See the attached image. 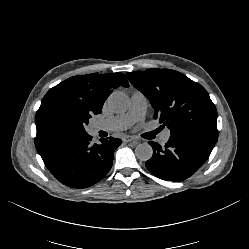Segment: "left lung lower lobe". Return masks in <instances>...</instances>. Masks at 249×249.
<instances>
[{
  "label": "left lung lower lobe",
  "mask_w": 249,
  "mask_h": 249,
  "mask_svg": "<svg viewBox=\"0 0 249 249\" xmlns=\"http://www.w3.org/2000/svg\"><path fill=\"white\" fill-rule=\"evenodd\" d=\"M146 168L163 180L182 181L194 174L209 158L215 143L188 136H170L165 146L153 141Z\"/></svg>",
  "instance_id": "0a47b994"
}]
</instances>
